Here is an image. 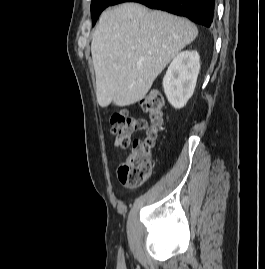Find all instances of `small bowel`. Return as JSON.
<instances>
[{
    "mask_svg": "<svg viewBox=\"0 0 265 269\" xmlns=\"http://www.w3.org/2000/svg\"><path fill=\"white\" fill-rule=\"evenodd\" d=\"M145 124H146V122H145ZM114 146L115 147H118L116 140H115Z\"/></svg>",
    "mask_w": 265,
    "mask_h": 269,
    "instance_id": "1",
    "label": "small bowel"
}]
</instances>
